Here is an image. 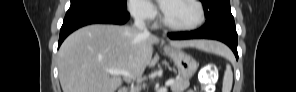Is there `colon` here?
<instances>
[{
  "label": "colon",
  "instance_id": "obj_1",
  "mask_svg": "<svg viewBox=\"0 0 296 92\" xmlns=\"http://www.w3.org/2000/svg\"><path fill=\"white\" fill-rule=\"evenodd\" d=\"M216 74V66L208 65L204 67L202 72L200 73V82L202 83V85L209 87L214 83Z\"/></svg>",
  "mask_w": 296,
  "mask_h": 92
}]
</instances>
